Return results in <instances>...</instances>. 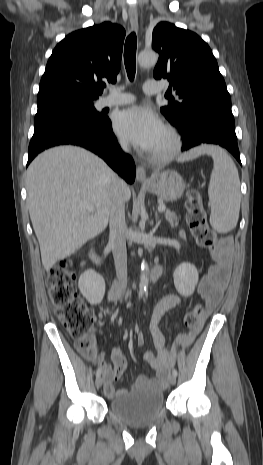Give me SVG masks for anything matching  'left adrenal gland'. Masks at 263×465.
Listing matches in <instances>:
<instances>
[{
    "label": "left adrenal gland",
    "instance_id": "left-adrenal-gland-1",
    "mask_svg": "<svg viewBox=\"0 0 263 465\" xmlns=\"http://www.w3.org/2000/svg\"><path fill=\"white\" fill-rule=\"evenodd\" d=\"M155 216H156V227H158L160 225V220H159V216L157 214V212L155 213Z\"/></svg>",
    "mask_w": 263,
    "mask_h": 465
}]
</instances>
